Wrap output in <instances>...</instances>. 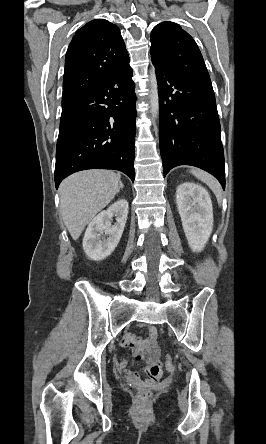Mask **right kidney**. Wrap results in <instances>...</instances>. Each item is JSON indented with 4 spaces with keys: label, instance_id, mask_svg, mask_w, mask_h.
<instances>
[{
    "label": "right kidney",
    "instance_id": "1",
    "mask_svg": "<svg viewBox=\"0 0 266 444\" xmlns=\"http://www.w3.org/2000/svg\"><path fill=\"white\" fill-rule=\"evenodd\" d=\"M127 215L128 202L121 199L90 222L83 238V249L90 259L100 261L114 251L123 234ZM113 216L116 217L114 225L110 222ZM103 232L108 235L107 238Z\"/></svg>",
    "mask_w": 266,
    "mask_h": 444
}]
</instances>
